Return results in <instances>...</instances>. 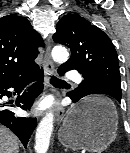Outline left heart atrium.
<instances>
[{"label": "left heart atrium", "mask_w": 130, "mask_h": 153, "mask_svg": "<svg viewBox=\"0 0 130 153\" xmlns=\"http://www.w3.org/2000/svg\"><path fill=\"white\" fill-rule=\"evenodd\" d=\"M49 106V102L48 101H43L41 103H39V105L37 106V111H42L44 109H46Z\"/></svg>", "instance_id": "left-heart-atrium-1"}]
</instances>
